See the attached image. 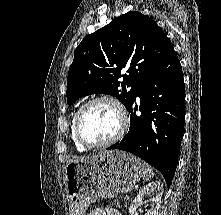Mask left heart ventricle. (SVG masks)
I'll return each mask as SVG.
<instances>
[{
  "mask_svg": "<svg viewBox=\"0 0 221 215\" xmlns=\"http://www.w3.org/2000/svg\"><path fill=\"white\" fill-rule=\"evenodd\" d=\"M120 116L115 106L101 101L89 106L81 120V133L90 142H103L113 137L120 127Z\"/></svg>",
  "mask_w": 221,
  "mask_h": 215,
  "instance_id": "1",
  "label": "left heart ventricle"
}]
</instances>
